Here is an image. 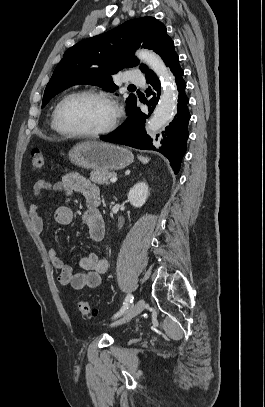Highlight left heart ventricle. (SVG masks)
Segmentation results:
<instances>
[{"label":"left heart ventricle","instance_id":"obj_1","mask_svg":"<svg viewBox=\"0 0 265 407\" xmlns=\"http://www.w3.org/2000/svg\"><path fill=\"white\" fill-rule=\"evenodd\" d=\"M112 118V109L104 101L78 96L69 99L62 107L61 121L71 131L93 132L106 127Z\"/></svg>","mask_w":265,"mask_h":407}]
</instances>
